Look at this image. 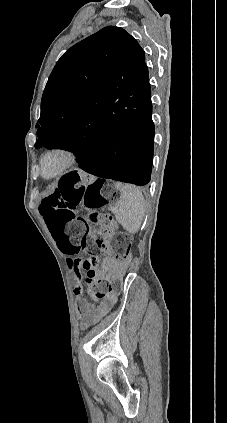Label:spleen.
<instances>
[{
    "label": "spleen",
    "instance_id": "1",
    "mask_svg": "<svg viewBox=\"0 0 227 423\" xmlns=\"http://www.w3.org/2000/svg\"><path fill=\"white\" fill-rule=\"evenodd\" d=\"M121 196L116 204L115 217L129 233H136L145 215V200L142 192L129 184H116Z\"/></svg>",
    "mask_w": 227,
    "mask_h": 423
}]
</instances>
